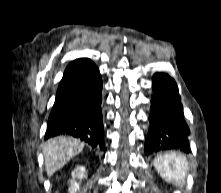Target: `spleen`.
Masks as SVG:
<instances>
[{
  "label": "spleen",
  "mask_w": 221,
  "mask_h": 193,
  "mask_svg": "<svg viewBox=\"0 0 221 193\" xmlns=\"http://www.w3.org/2000/svg\"><path fill=\"white\" fill-rule=\"evenodd\" d=\"M153 163L157 172L167 182L179 184L185 180L188 171V161L185 156L176 152H166L159 154Z\"/></svg>",
  "instance_id": "obj_1"
}]
</instances>
